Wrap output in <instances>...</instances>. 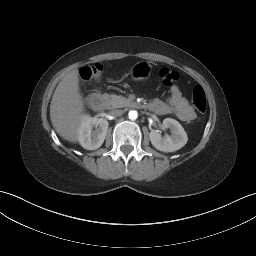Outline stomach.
<instances>
[{
  "label": "stomach",
  "mask_w": 256,
  "mask_h": 256,
  "mask_svg": "<svg viewBox=\"0 0 256 256\" xmlns=\"http://www.w3.org/2000/svg\"><path fill=\"white\" fill-rule=\"evenodd\" d=\"M152 66L145 61L134 64L130 70L131 78L134 81L146 80L150 77Z\"/></svg>",
  "instance_id": "0dacf381"
}]
</instances>
